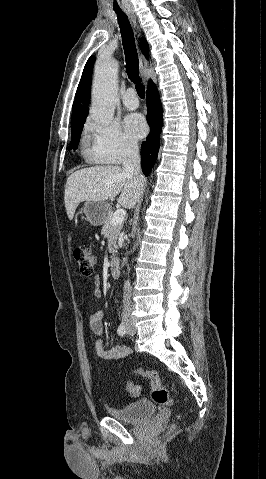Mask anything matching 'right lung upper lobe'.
Masks as SVG:
<instances>
[{"mask_svg": "<svg viewBox=\"0 0 266 479\" xmlns=\"http://www.w3.org/2000/svg\"><path fill=\"white\" fill-rule=\"evenodd\" d=\"M140 48L145 57L148 59V44L147 41L143 38L140 41ZM94 60L95 57L91 56L84 67L82 77L75 94L76 100L74 101L72 106V123L86 119L87 117L89 110L88 105L90 101L91 78ZM150 83L152 82L150 81L148 85Z\"/></svg>", "mask_w": 266, "mask_h": 479, "instance_id": "obj_1", "label": "right lung upper lobe"}]
</instances>
